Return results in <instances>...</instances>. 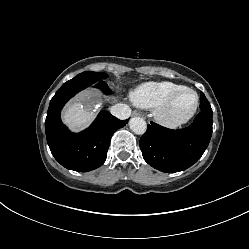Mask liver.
Instances as JSON below:
<instances>
[{
    "label": "liver",
    "mask_w": 249,
    "mask_h": 249,
    "mask_svg": "<svg viewBox=\"0 0 249 249\" xmlns=\"http://www.w3.org/2000/svg\"><path fill=\"white\" fill-rule=\"evenodd\" d=\"M100 105L95 94L85 92L65 108L63 120L72 130L83 129L93 121Z\"/></svg>",
    "instance_id": "liver-1"
}]
</instances>
